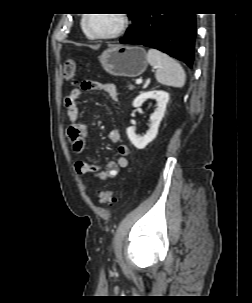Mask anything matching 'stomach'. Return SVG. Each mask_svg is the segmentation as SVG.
Returning <instances> with one entry per match:
<instances>
[{
  "label": "stomach",
  "mask_w": 252,
  "mask_h": 303,
  "mask_svg": "<svg viewBox=\"0 0 252 303\" xmlns=\"http://www.w3.org/2000/svg\"><path fill=\"white\" fill-rule=\"evenodd\" d=\"M103 69L113 76L137 77L147 68L146 52L138 46H115L99 57Z\"/></svg>",
  "instance_id": "stomach-1"
}]
</instances>
